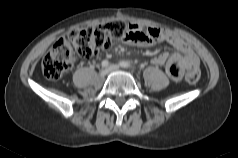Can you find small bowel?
I'll list each match as a JSON object with an SVG mask.
<instances>
[{"label":"small bowel","mask_w":238,"mask_h":158,"mask_svg":"<svg viewBox=\"0 0 238 158\" xmlns=\"http://www.w3.org/2000/svg\"><path fill=\"white\" fill-rule=\"evenodd\" d=\"M131 37L126 43L139 47H151L158 43L166 42L173 46L178 52L169 54L167 52L156 55L151 62L157 66H165L167 74L173 80H179L183 71L198 68L199 59L192 48L177 34L156 27H147L132 23Z\"/></svg>","instance_id":"c3829d8e"}]
</instances>
